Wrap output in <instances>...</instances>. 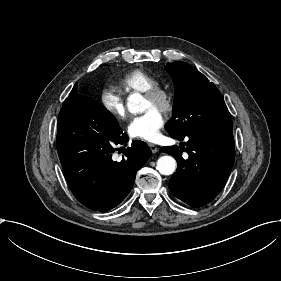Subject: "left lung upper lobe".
<instances>
[{"mask_svg":"<svg viewBox=\"0 0 281 281\" xmlns=\"http://www.w3.org/2000/svg\"><path fill=\"white\" fill-rule=\"evenodd\" d=\"M175 86L173 116L165 128L172 137L193 131L232 127L226 104L216 86L188 63H168Z\"/></svg>","mask_w":281,"mask_h":281,"instance_id":"obj_1","label":"left lung upper lobe"}]
</instances>
